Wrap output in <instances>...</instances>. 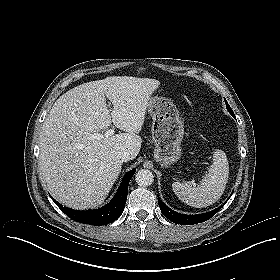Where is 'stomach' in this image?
I'll list each match as a JSON object with an SVG mask.
<instances>
[{"label":"stomach","mask_w":280,"mask_h":280,"mask_svg":"<svg viewBox=\"0 0 280 280\" xmlns=\"http://www.w3.org/2000/svg\"><path fill=\"white\" fill-rule=\"evenodd\" d=\"M152 116V140L154 159L162 166L169 167L182 155L181 143L184 125L174 103L165 97H152L148 105Z\"/></svg>","instance_id":"0dacf381"}]
</instances>
